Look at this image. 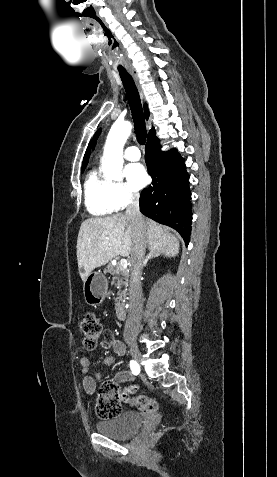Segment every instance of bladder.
I'll return each mask as SVG.
<instances>
[{
  "label": "bladder",
  "mask_w": 277,
  "mask_h": 477,
  "mask_svg": "<svg viewBox=\"0 0 277 477\" xmlns=\"http://www.w3.org/2000/svg\"><path fill=\"white\" fill-rule=\"evenodd\" d=\"M141 414L135 411H124L119 415L96 423L99 433L114 439H124L134 435L142 426Z\"/></svg>",
  "instance_id": "31cf9c89"
}]
</instances>
